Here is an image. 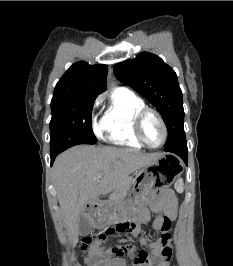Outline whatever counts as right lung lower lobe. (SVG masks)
<instances>
[{"label":"right lung lower lobe","instance_id":"1","mask_svg":"<svg viewBox=\"0 0 233 266\" xmlns=\"http://www.w3.org/2000/svg\"><path fill=\"white\" fill-rule=\"evenodd\" d=\"M59 153H52L51 154V165L53 164V162H54V160H55V158H56V156L58 155Z\"/></svg>","mask_w":233,"mask_h":266}]
</instances>
